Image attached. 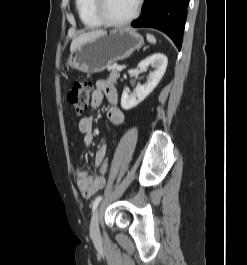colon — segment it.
<instances>
[{"label": "colon", "mask_w": 247, "mask_h": 265, "mask_svg": "<svg viewBox=\"0 0 247 265\" xmlns=\"http://www.w3.org/2000/svg\"><path fill=\"white\" fill-rule=\"evenodd\" d=\"M91 93V84L85 80L76 81L71 87L67 99L73 106L76 113L81 114L86 110L89 104ZM108 171V157L102 160L99 165V178L105 180L106 173Z\"/></svg>", "instance_id": "5ec220e1"}]
</instances>
